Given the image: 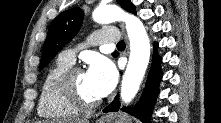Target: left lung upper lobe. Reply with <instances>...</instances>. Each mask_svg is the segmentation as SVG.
<instances>
[{"label": "left lung upper lobe", "instance_id": "1", "mask_svg": "<svg viewBox=\"0 0 221 123\" xmlns=\"http://www.w3.org/2000/svg\"><path fill=\"white\" fill-rule=\"evenodd\" d=\"M119 5L128 12L136 14L135 5L131 0H117ZM84 18L80 8H71L60 13L52 22L43 46L40 70L78 33ZM113 56H117L114 52Z\"/></svg>", "mask_w": 221, "mask_h": 123}]
</instances>
